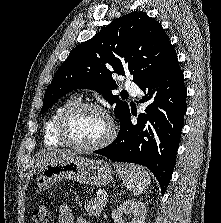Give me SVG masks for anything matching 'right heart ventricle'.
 I'll list each match as a JSON object with an SVG mask.
<instances>
[{
    "mask_svg": "<svg viewBox=\"0 0 221 223\" xmlns=\"http://www.w3.org/2000/svg\"><path fill=\"white\" fill-rule=\"evenodd\" d=\"M80 102V98L77 96H71L61 102L52 112L43 128V139L47 146H58L62 142L56 137V127L62 112L74 103Z\"/></svg>",
    "mask_w": 221,
    "mask_h": 223,
    "instance_id": "1",
    "label": "right heart ventricle"
}]
</instances>
